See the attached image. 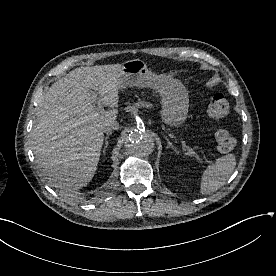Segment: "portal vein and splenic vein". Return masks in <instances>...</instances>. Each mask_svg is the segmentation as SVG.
Masks as SVG:
<instances>
[{"label": "portal vein and splenic vein", "mask_w": 276, "mask_h": 276, "mask_svg": "<svg viewBox=\"0 0 276 276\" xmlns=\"http://www.w3.org/2000/svg\"><path fill=\"white\" fill-rule=\"evenodd\" d=\"M94 95L97 96L95 93H94ZM95 109H96L98 112H102L103 107H102V104H101V101H100V100L97 101V106L95 107ZM181 142H182L183 147L188 151V153H189L190 155H194L193 149L190 148L188 145H186V143H185L184 140H182Z\"/></svg>", "instance_id": "obj_1"}]
</instances>
